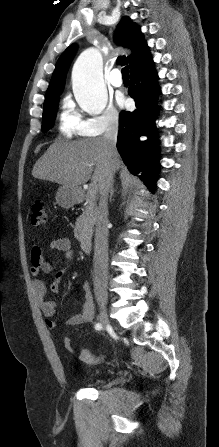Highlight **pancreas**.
<instances>
[{
  "label": "pancreas",
  "instance_id": "cf45deb5",
  "mask_svg": "<svg viewBox=\"0 0 219 447\" xmlns=\"http://www.w3.org/2000/svg\"><path fill=\"white\" fill-rule=\"evenodd\" d=\"M85 198L87 200V206L77 219L74 228V236L79 241H85L91 238L93 234V227L98 216L96 196H91L87 193Z\"/></svg>",
  "mask_w": 219,
  "mask_h": 447
}]
</instances>
